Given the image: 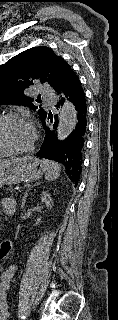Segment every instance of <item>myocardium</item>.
Listing matches in <instances>:
<instances>
[{
  "mask_svg": "<svg viewBox=\"0 0 118 320\" xmlns=\"http://www.w3.org/2000/svg\"><path fill=\"white\" fill-rule=\"evenodd\" d=\"M9 121L26 122L27 124H29V126L32 129L33 137H32L30 144L28 146H26L25 148H21V149H9L4 144H2L0 142V151L6 155H21V154H26V153L31 152L34 149L36 141L38 139V131H37V128L34 125V123L30 119H28L26 116H23L18 113H10V114L0 116V126L3 123L9 122Z\"/></svg>",
  "mask_w": 118,
  "mask_h": 320,
  "instance_id": "myocardium-1",
  "label": "myocardium"
}]
</instances>
